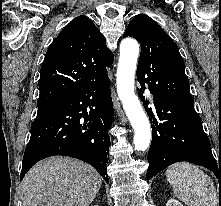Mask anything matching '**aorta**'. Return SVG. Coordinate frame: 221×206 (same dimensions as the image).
I'll list each match as a JSON object with an SVG mask.
<instances>
[{
    "instance_id": "obj_1",
    "label": "aorta",
    "mask_w": 221,
    "mask_h": 206,
    "mask_svg": "<svg viewBox=\"0 0 221 206\" xmlns=\"http://www.w3.org/2000/svg\"><path fill=\"white\" fill-rule=\"evenodd\" d=\"M139 55L136 40L126 38L120 44V57L117 69V92L125 113L134 129V145L137 151H146L150 145L151 127L134 92V77Z\"/></svg>"
}]
</instances>
